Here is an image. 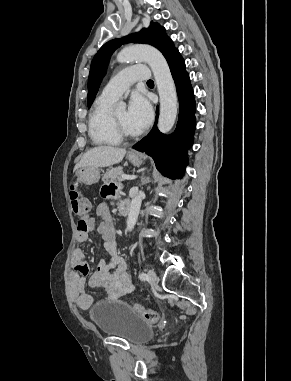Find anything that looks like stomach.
Instances as JSON below:
<instances>
[{"mask_svg":"<svg viewBox=\"0 0 291 381\" xmlns=\"http://www.w3.org/2000/svg\"><path fill=\"white\" fill-rule=\"evenodd\" d=\"M127 159L135 166H139L142 164V156L129 152L127 154ZM77 183L84 184V185H92L95 184L100 177V171L98 168L94 167H84L81 168L77 173Z\"/></svg>","mask_w":291,"mask_h":381,"instance_id":"1","label":"stomach"}]
</instances>
